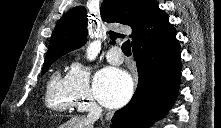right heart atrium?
<instances>
[{
    "mask_svg": "<svg viewBox=\"0 0 221 128\" xmlns=\"http://www.w3.org/2000/svg\"><path fill=\"white\" fill-rule=\"evenodd\" d=\"M90 68L76 59L67 74L70 89L75 98V109L81 111L84 106L96 107L90 90Z\"/></svg>",
    "mask_w": 221,
    "mask_h": 128,
    "instance_id": "1",
    "label": "right heart atrium"
}]
</instances>
